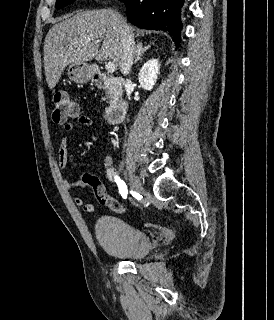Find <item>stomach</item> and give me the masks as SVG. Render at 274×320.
Listing matches in <instances>:
<instances>
[{
    "mask_svg": "<svg viewBox=\"0 0 274 320\" xmlns=\"http://www.w3.org/2000/svg\"><path fill=\"white\" fill-rule=\"evenodd\" d=\"M70 68V80H74L77 84H85V82H89L95 74V68L94 66H90V64H71Z\"/></svg>",
    "mask_w": 274,
    "mask_h": 320,
    "instance_id": "1",
    "label": "stomach"
}]
</instances>
